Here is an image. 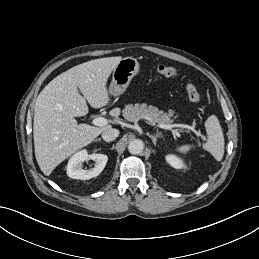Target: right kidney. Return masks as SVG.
I'll use <instances>...</instances> for the list:
<instances>
[{
	"mask_svg": "<svg viewBox=\"0 0 259 259\" xmlns=\"http://www.w3.org/2000/svg\"><path fill=\"white\" fill-rule=\"evenodd\" d=\"M95 161L94 168L84 170L82 163L88 160ZM108 157L104 154L89 155L86 150L74 154L67 164V175L73 179L88 180L98 176L104 169Z\"/></svg>",
	"mask_w": 259,
	"mask_h": 259,
	"instance_id": "right-kidney-1",
	"label": "right kidney"
}]
</instances>
